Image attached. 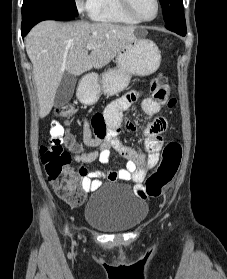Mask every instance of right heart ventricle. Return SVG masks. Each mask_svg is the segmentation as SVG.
<instances>
[{"instance_id": "obj_1", "label": "right heart ventricle", "mask_w": 227, "mask_h": 279, "mask_svg": "<svg viewBox=\"0 0 227 279\" xmlns=\"http://www.w3.org/2000/svg\"><path fill=\"white\" fill-rule=\"evenodd\" d=\"M89 14L92 20L98 22L116 24L138 23L137 20L127 13L120 0H94Z\"/></svg>"}]
</instances>
